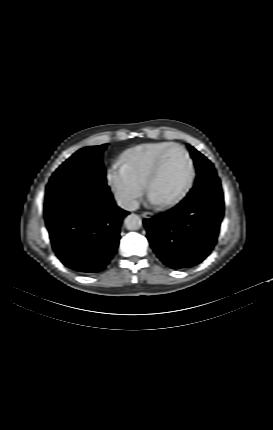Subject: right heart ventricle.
<instances>
[{
    "label": "right heart ventricle",
    "instance_id": "e07e8e85",
    "mask_svg": "<svg viewBox=\"0 0 273 430\" xmlns=\"http://www.w3.org/2000/svg\"><path fill=\"white\" fill-rule=\"evenodd\" d=\"M171 144L170 142H151L138 145L122 155V164L132 177L145 184L158 155Z\"/></svg>",
    "mask_w": 273,
    "mask_h": 430
}]
</instances>
